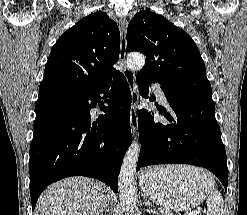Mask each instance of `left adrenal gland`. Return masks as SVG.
I'll return each mask as SVG.
<instances>
[{
	"mask_svg": "<svg viewBox=\"0 0 247 215\" xmlns=\"http://www.w3.org/2000/svg\"><path fill=\"white\" fill-rule=\"evenodd\" d=\"M145 206H152V204L150 203V201L149 200H147V198H145Z\"/></svg>",
	"mask_w": 247,
	"mask_h": 215,
	"instance_id": "1",
	"label": "left adrenal gland"
}]
</instances>
